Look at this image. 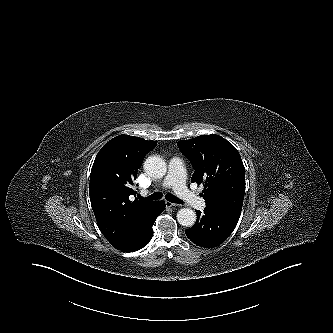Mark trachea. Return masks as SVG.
I'll use <instances>...</instances> for the list:
<instances>
[{"mask_svg":"<svg viewBox=\"0 0 333 333\" xmlns=\"http://www.w3.org/2000/svg\"><path fill=\"white\" fill-rule=\"evenodd\" d=\"M166 199L172 203H177V204H181L182 203V200H180L179 198H177L176 196L168 193L166 194ZM162 198V194L160 192H156V193H153L152 195L146 197L145 199L146 200H158V199H161Z\"/></svg>","mask_w":333,"mask_h":333,"instance_id":"1","label":"trachea"}]
</instances>
